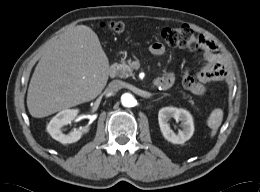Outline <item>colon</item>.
<instances>
[{
  "label": "colon",
  "mask_w": 260,
  "mask_h": 192,
  "mask_svg": "<svg viewBox=\"0 0 260 192\" xmlns=\"http://www.w3.org/2000/svg\"><path fill=\"white\" fill-rule=\"evenodd\" d=\"M103 26L115 34L126 32L125 26L121 22H109ZM160 36L164 42L171 46L188 48L193 51H204L203 38L195 35L192 29L187 26L165 28L161 31ZM183 85L186 89L193 91L196 89V80L189 73H185Z\"/></svg>",
  "instance_id": "obj_1"
}]
</instances>
